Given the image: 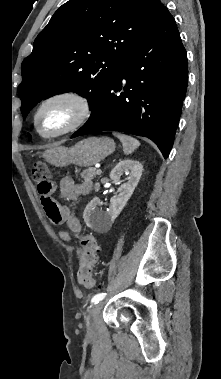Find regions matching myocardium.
I'll return each instance as SVG.
<instances>
[{
  "label": "myocardium",
  "mask_w": 221,
  "mask_h": 379,
  "mask_svg": "<svg viewBox=\"0 0 221 379\" xmlns=\"http://www.w3.org/2000/svg\"><path fill=\"white\" fill-rule=\"evenodd\" d=\"M64 102L73 111L70 121L61 129L45 133L41 130L39 120L46 107L53 103ZM92 113V105L87 96L74 90H64L52 93L43 98L35 108L32 115V126L35 133L43 139H54L66 135L80 128L87 122Z\"/></svg>",
  "instance_id": "1"
}]
</instances>
